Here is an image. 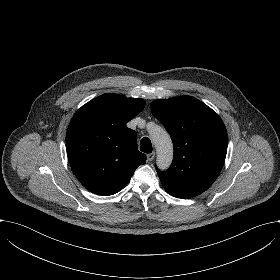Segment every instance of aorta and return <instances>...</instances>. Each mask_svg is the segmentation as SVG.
Instances as JSON below:
<instances>
[{
    "label": "aorta",
    "mask_w": 280,
    "mask_h": 280,
    "mask_svg": "<svg viewBox=\"0 0 280 280\" xmlns=\"http://www.w3.org/2000/svg\"><path fill=\"white\" fill-rule=\"evenodd\" d=\"M152 142L157 150L159 168L169 167L173 159V147L169 135L163 129H160V134L152 135Z\"/></svg>",
    "instance_id": "762f6f07"
}]
</instances>
